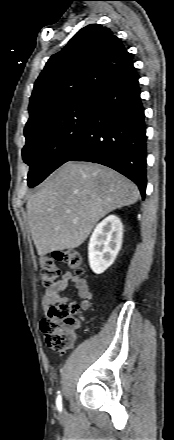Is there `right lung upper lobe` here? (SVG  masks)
I'll return each mask as SVG.
<instances>
[{"label": "right lung upper lobe", "mask_w": 174, "mask_h": 440, "mask_svg": "<svg viewBox=\"0 0 174 440\" xmlns=\"http://www.w3.org/2000/svg\"><path fill=\"white\" fill-rule=\"evenodd\" d=\"M133 66L122 42L99 24L78 31L35 82L25 128L90 94Z\"/></svg>", "instance_id": "cb5924a9"}]
</instances>
